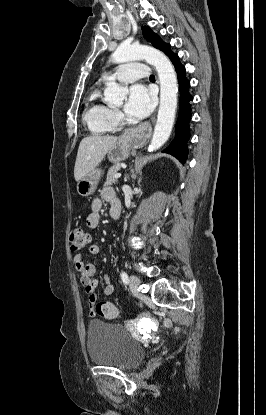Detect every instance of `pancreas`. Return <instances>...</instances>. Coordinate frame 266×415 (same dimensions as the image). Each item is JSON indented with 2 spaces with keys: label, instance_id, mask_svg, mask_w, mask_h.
Instances as JSON below:
<instances>
[{
  "label": "pancreas",
  "instance_id": "cf45deb5",
  "mask_svg": "<svg viewBox=\"0 0 266 415\" xmlns=\"http://www.w3.org/2000/svg\"><path fill=\"white\" fill-rule=\"evenodd\" d=\"M120 170V165L115 164L113 165L107 173V178L105 182V186H109L118 182V180L114 177L117 172Z\"/></svg>",
  "mask_w": 266,
  "mask_h": 415
}]
</instances>
